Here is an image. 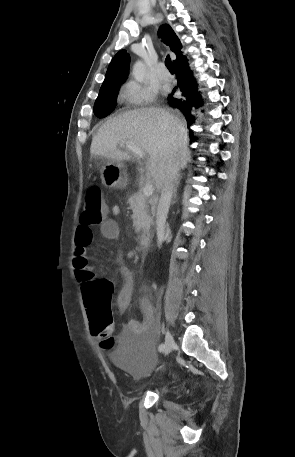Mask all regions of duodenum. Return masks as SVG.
<instances>
[{"label": "duodenum", "instance_id": "obj_1", "mask_svg": "<svg viewBox=\"0 0 295 457\" xmlns=\"http://www.w3.org/2000/svg\"><path fill=\"white\" fill-rule=\"evenodd\" d=\"M151 244V236L149 234H144L140 238V249L143 254H146L149 250Z\"/></svg>", "mask_w": 295, "mask_h": 457}]
</instances>
